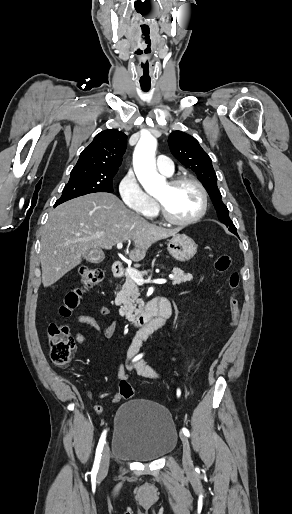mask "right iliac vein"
<instances>
[{
    "label": "right iliac vein",
    "instance_id": "1",
    "mask_svg": "<svg viewBox=\"0 0 292 514\" xmlns=\"http://www.w3.org/2000/svg\"><path fill=\"white\" fill-rule=\"evenodd\" d=\"M109 463H110V449L109 446L106 445L104 447L102 458L100 462V469H99V477H104L109 469Z\"/></svg>",
    "mask_w": 292,
    "mask_h": 514
}]
</instances>
